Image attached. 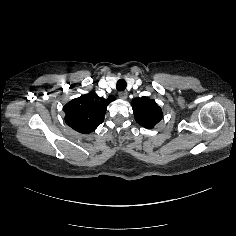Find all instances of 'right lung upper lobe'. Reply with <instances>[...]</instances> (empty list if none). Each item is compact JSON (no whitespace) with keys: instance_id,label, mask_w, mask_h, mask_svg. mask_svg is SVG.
I'll list each match as a JSON object with an SVG mask.
<instances>
[{"instance_id":"1","label":"right lung upper lobe","mask_w":236,"mask_h":236,"mask_svg":"<svg viewBox=\"0 0 236 236\" xmlns=\"http://www.w3.org/2000/svg\"><path fill=\"white\" fill-rule=\"evenodd\" d=\"M114 100L115 97L112 95L104 99L95 93L75 98L63 108L66 114L65 121L79 133H91L104 121L107 106Z\"/></svg>"}]
</instances>
